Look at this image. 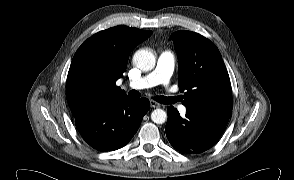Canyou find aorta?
<instances>
[{
	"label": "aorta",
	"instance_id": "1",
	"mask_svg": "<svg viewBox=\"0 0 294 180\" xmlns=\"http://www.w3.org/2000/svg\"><path fill=\"white\" fill-rule=\"evenodd\" d=\"M133 62L137 68L142 71H150L155 67L156 58L154 54L146 49L136 51ZM167 119V114L162 109H155L151 113V120L156 124H163Z\"/></svg>",
	"mask_w": 294,
	"mask_h": 180
}]
</instances>
